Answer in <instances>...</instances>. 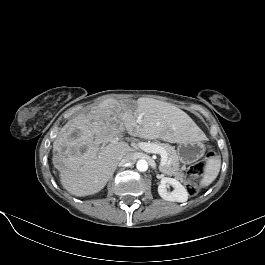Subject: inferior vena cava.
I'll return each instance as SVG.
<instances>
[{
  "label": "inferior vena cava",
  "mask_w": 265,
  "mask_h": 265,
  "mask_svg": "<svg viewBox=\"0 0 265 265\" xmlns=\"http://www.w3.org/2000/svg\"><path fill=\"white\" fill-rule=\"evenodd\" d=\"M135 157L132 153H127L126 155H124L120 161L118 162L119 165L124 164V163H128V162H132L134 161Z\"/></svg>",
  "instance_id": "inferior-vena-cava-1"
}]
</instances>
